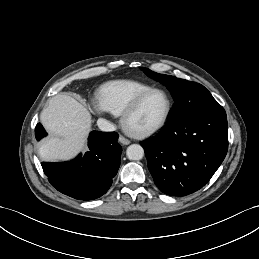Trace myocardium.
I'll return each instance as SVG.
<instances>
[{"label":"myocardium","mask_w":259,"mask_h":259,"mask_svg":"<svg viewBox=\"0 0 259 259\" xmlns=\"http://www.w3.org/2000/svg\"><path fill=\"white\" fill-rule=\"evenodd\" d=\"M162 93L167 100V107H166V111L165 114L163 116V118L161 119V121L159 123H157L155 126L145 129V130H134L132 129L129 125H128V120L129 118L137 111V109L139 108V106L142 104V102L151 94L153 93ZM172 111V99L169 95V93L161 88H151L148 91L140 94L138 97H136L129 105L128 107L123 111V113L121 114V125L123 127V129L132 137L135 138H145L148 136L153 135L154 133L158 132L159 130H161L165 124L167 123L170 114Z\"/></svg>","instance_id":"obj_1"}]
</instances>
